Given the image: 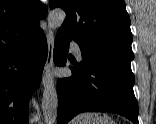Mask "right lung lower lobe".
Returning <instances> with one entry per match:
<instances>
[{"mask_svg":"<svg viewBox=\"0 0 156 124\" xmlns=\"http://www.w3.org/2000/svg\"><path fill=\"white\" fill-rule=\"evenodd\" d=\"M47 54L41 29L0 44V124H28L29 99L40 84Z\"/></svg>","mask_w":156,"mask_h":124,"instance_id":"obj_1","label":"right lung lower lobe"}]
</instances>
